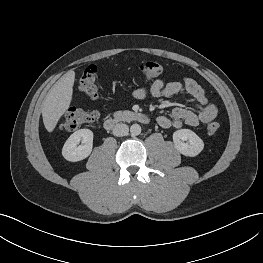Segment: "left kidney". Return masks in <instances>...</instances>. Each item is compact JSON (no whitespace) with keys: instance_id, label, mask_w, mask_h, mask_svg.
Segmentation results:
<instances>
[{"instance_id":"left-kidney-1","label":"left kidney","mask_w":263,"mask_h":263,"mask_svg":"<svg viewBox=\"0 0 263 263\" xmlns=\"http://www.w3.org/2000/svg\"><path fill=\"white\" fill-rule=\"evenodd\" d=\"M173 142L177 151L189 157L197 156L204 148L203 140L189 129L175 131L173 133Z\"/></svg>"}]
</instances>
